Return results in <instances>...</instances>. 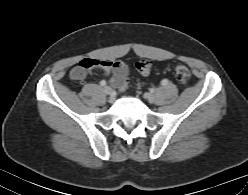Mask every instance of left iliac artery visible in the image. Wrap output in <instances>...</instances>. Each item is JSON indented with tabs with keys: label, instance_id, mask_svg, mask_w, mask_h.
Returning a JSON list of instances; mask_svg holds the SVG:
<instances>
[{
	"label": "left iliac artery",
	"instance_id": "obj_1",
	"mask_svg": "<svg viewBox=\"0 0 248 195\" xmlns=\"http://www.w3.org/2000/svg\"><path fill=\"white\" fill-rule=\"evenodd\" d=\"M167 83H168V80H167V79H163V80L161 81V84L164 85V86H165Z\"/></svg>",
	"mask_w": 248,
	"mask_h": 195
}]
</instances>
